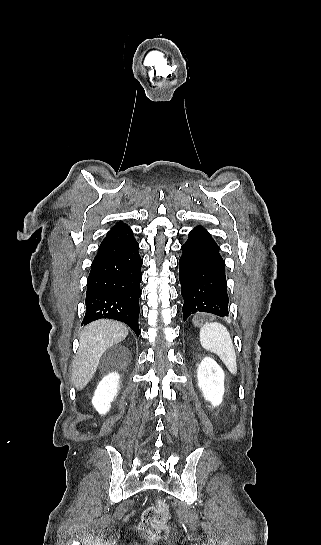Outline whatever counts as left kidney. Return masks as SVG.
Instances as JSON below:
<instances>
[{
    "label": "left kidney",
    "mask_w": 321,
    "mask_h": 545,
    "mask_svg": "<svg viewBox=\"0 0 321 545\" xmlns=\"http://www.w3.org/2000/svg\"><path fill=\"white\" fill-rule=\"evenodd\" d=\"M224 377V371L211 357H205L198 365V387L201 389L205 401H210L213 407H218L223 401Z\"/></svg>",
    "instance_id": "obj_1"
}]
</instances>
